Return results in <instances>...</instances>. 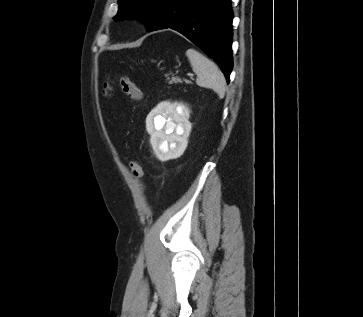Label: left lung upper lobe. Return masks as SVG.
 Here are the masks:
<instances>
[{
  "label": "left lung upper lobe",
  "instance_id": "5c2ea615",
  "mask_svg": "<svg viewBox=\"0 0 363 317\" xmlns=\"http://www.w3.org/2000/svg\"><path fill=\"white\" fill-rule=\"evenodd\" d=\"M162 0H119L117 15L113 18L119 21L129 17L143 20L148 28L152 23Z\"/></svg>",
  "mask_w": 363,
  "mask_h": 317
}]
</instances>
